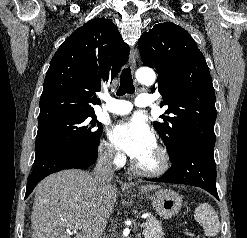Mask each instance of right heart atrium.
<instances>
[{"label": "right heart atrium", "mask_w": 247, "mask_h": 238, "mask_svg": "<svg viewBox=\"0 0 247 238\" xmlns=\"http://www.w3.org/2000/svg\"><path fill=\"white\" fill-rule=\"evenodd\" d=\"M98 153H99V158L104 163H107V164H110L116 167H120L124 164L125 158L123 154H121L113 146V144L106 139H103L100 142Z\"/></svg>", "instance_id": "obj_1"}]
</instances>
